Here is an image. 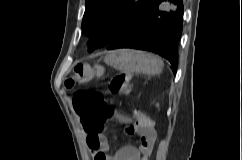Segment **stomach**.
<instances>
[{
	"instance_id": "stomach-1",
	"label": "stomach",
	"mask_w": 242,
	"mask_h": 160,
	"mask_svg": "<svg viewBox=\"0 0 242 160\" xmlns=\"http://www.w3.org/2000/svg\"><path fill=\"white\" fill-rule=\"evenodd\" d=\"M105 63L124 73L156 74L161 70L159 59L154 55L133 49H118L108 53Z\"/></svg>"
}]
</instances>
